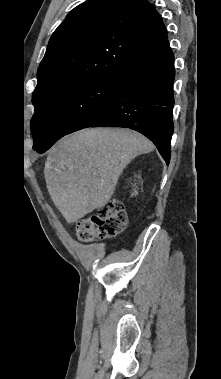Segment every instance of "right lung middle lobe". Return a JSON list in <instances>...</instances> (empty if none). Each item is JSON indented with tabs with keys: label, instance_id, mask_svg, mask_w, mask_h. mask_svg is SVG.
<instances>
[{
	"label": "right lung middle lobe",
	"instance_id": "right-lung-middle-lobe-1",
	"mask_svg": "<svg viewBox=\"0 0 221 379\" xmlns=\"http://www.w3.org/2000/svg\"><path fill=\"white\" fill-rule=\"evenodd\" d=\"M119 76L99 74L33 99V148L50 147L57 138L90 127L111 103Z\"/></svg>",
	"mask_w": 221,
	"mask_h": 379
}]
</instances>
